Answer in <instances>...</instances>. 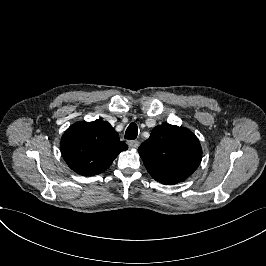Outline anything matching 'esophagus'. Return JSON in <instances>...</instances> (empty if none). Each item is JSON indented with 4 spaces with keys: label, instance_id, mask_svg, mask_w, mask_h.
Masks as SVG:
<instances>
[{
    "label": "esophagus",
    "instance_id": "1",
    "mask_svg": "<svg viewBox=\"0 0 266 266\" xmlns=\"http://www.w3.org/2000/svg\"><path fill=\"white\" fill-rule=\"evenodd\" d=\"M127 145L129 148H137L139 146V141L137 140H128Z\"/></svg>",
    "mask_w": 266,
    "mask_h": 266
}]
</instances>
